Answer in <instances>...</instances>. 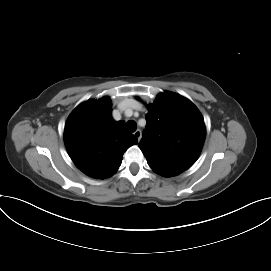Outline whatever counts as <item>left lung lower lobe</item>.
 Listing matches in <instances>:
<instances>
[{"label": "left lung lower lobe", "mask_w": 271, "mask_h": 271, "mask_svg": "<svg viewBox=\"0 0 271 271\" xmlns=\"http://www.w3.org/2000/svg\"><path fill=\"white\" fill-rule=\"evenodd\" d=\"M157 174H160L162 176H166V177H171V176H175V175H178L179 173L177 172H174V171H170V170H166V169H163V168H159V167H156V166H152V165H149Z\"/></svg>", "instance_id": "0a47b994"}]
</instances>
